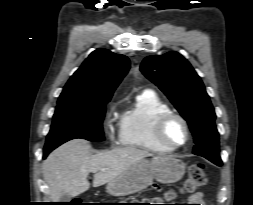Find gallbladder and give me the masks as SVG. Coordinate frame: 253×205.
Returning a JSON list of instances; mask_svg holds the SVG:
<instances>
[{
    "instance_id": "bac80fb5",
    "label": "gallbladder",
    "mask_w": 253,
    "mask_h": 205,
    "mask_svg": "<svg viewBox=\"0 0 253 205\" xmlns=\"http://www.w3.org/2000/svg\"><path fill=\"white\" fill-rule=\"evenodd\" d=\"M71 200V197L70 195L68 194H63L61 197H60V202H69Z\"/></svg>"
}]
</instances>
